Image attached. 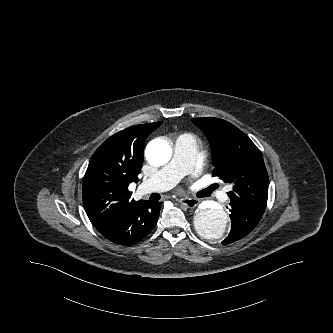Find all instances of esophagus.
<instances>
[{
	"label": "esophagus",
	"mask_w": 333,
	"mask_h": 333,
	"mask_svg": "<svg viewBox=\"0 0 333 333\" xmlns=\"http://www.w3.org/2000/svg\"><path fill=\"white\" fill-rule=\"evenodd\" d=\"M179 202L187 208H195L199 204V200L196 198L182 197Z\"/></svg>",
	"instance_id": "1"
}]
</instances>
